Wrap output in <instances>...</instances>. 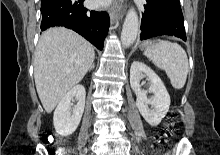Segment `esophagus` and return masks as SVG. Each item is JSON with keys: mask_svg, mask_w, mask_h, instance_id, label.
<instances>
[{"mask_svg": "<svg viewBox=\"0 0 220 155\" xmlns=\"http://www.w3.org/2000/svg\"><path fill=\"white\" fill-rule=\"evenodd\" d=\"M125 11V0H115L112 7L110 8L109 15L111 23L120 19Z\"/></svg>", "mask_w": 220, "mask_h": 155, "instance_id": "esophagus-1", "label": "esophagus"}]
</instances>
